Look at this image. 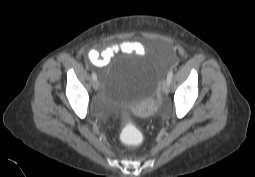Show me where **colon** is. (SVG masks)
<instances>
[{"mask_svg":"<svg viewBox=\"0 0 255 177\" xmlns=\"http://www.w3.org/2000/svg\"><path fill=\"white\" fill-rule=\"evenodd\" d=\"M160 57L162 61L166 62L170 60L171 55L169 51H162ZM120 138L128 146H137L141 142L142 135L131 122H126L121 131Z\"/></svg>","mask_w":255,"mask_h":177,"instance_id":"colon-1","label":"colon"}]
</instances>
